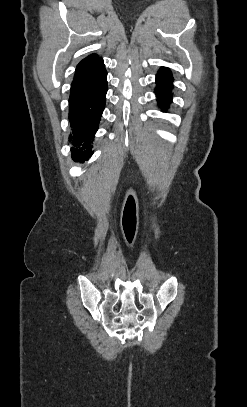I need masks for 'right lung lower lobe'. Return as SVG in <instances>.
<instances>
[{"mask_svg":"<svg viewBox=\"0 0 247 407\" xmlns=\"http://www.w3.org/2000/svg\"><path fill=\"white\" fill-rule=\"evenodd\" d=\"M107 72L103 59H97L76 68L70 88L69 120L72 128L73 157L88 159L94 135L105 108Z\"/></svg>","mask_w":247,"mask_h":407,"instance_id":"obj_1","label":"right lung lower lobe"}]
</instances>
